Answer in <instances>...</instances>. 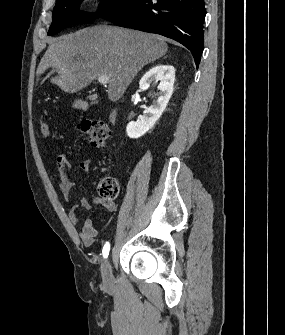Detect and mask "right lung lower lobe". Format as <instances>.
Masks as SVG:
<instances>
[{
  "label": "right lung lower lobe",
  "mask_w": 285,
  "mask_h": 335,
  "mask_svg": "<svg viewBox=\"0 0 285 335\" xmlns=\"http://www.w3.org/2000/svg\"><path fill=\"white\" fill-rule=\"evenodd\" d=\"M205 15L204 0H120L100 17L121 27L176 40L191 51L198 67Z\"/></svg>",
  "instance_id": "obj_1"
}]
</instances>
